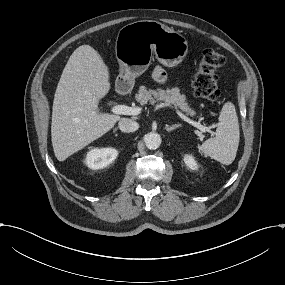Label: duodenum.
I'll use <instances>...</instances> for the list:
<instances>
[{
  "mask_svg": "<svg viewBox=\"0 0 285 285\" xmlns=\"http://www.w3.org/2000/svg\"><path fill=\"white\" fill-rule=\"evenodd\" d=\"M116 94L120 98H128L131 96L134 85L127 77H122L115 83Z\"/></svg>",
  "mask_w": 285,
  "mask_h": 285,
  "instance_id": "obj_1",
  "label": "duodenum"
}]
</instances>
